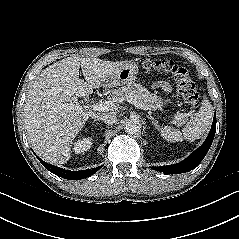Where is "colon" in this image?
Returning a JSON list of instances; mask_svg holds the SVG:
<instances>
[{"instance_id":"colon-1","label":"colon","mask_w":239,"mask_h":239,"mask_svg":"<svg viewBox=\"0 0 239 239\" xmlns=\"http://www.w3.org/2000/svg\"><path fill=\"white\" fill-rule=\"evenodd\" d=\"M145 71L170 74L176 83L178 93L190 107L199 103V93L195 82L188 70L170 60H148L143 63Z\"/></svg>"}]
</instances>
